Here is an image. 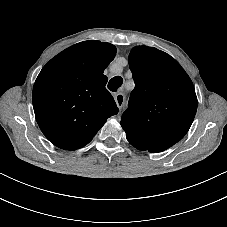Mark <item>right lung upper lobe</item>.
<instances>
[{
	"instance_id": "obj_1",
	"label": "right lung upper lobe",
	"mask_w": 227,
	"mask_h": 227,
	"mask_svg": "<svg viewBox=\"0 0 227 227\" xmlns=\"http://www.w3.org/2000/svg\"><path fill=\"white\" fill-rule=\"evenodd\" d=\"M115 55L112 44L84 41L56 55L39 73L32 94L34 113L43 134L57 147H84L118 113L103 74Z\"/></svg>"
}]
</instances>
